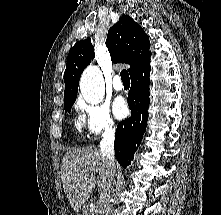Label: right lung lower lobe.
Masks as SVG:
<instances>
[{
  "label": "right lung lower lobe",
  "instance_id": "right-lung-lower-lobe-1",
  "mask_svg": "<svg viewBox=\"0 0 221 215\" xmlns=\"http://www.w3.org/2000/svg\"><path fill=\"white\" fill-rule=\"evenodd\" d=\"M150 69L149 62L130 76L131 89L128 94V105L131 116L118 124L114 142L116 159L123 167L131 163L146 128L147 108L150 101Z\"/></svg>",
  "mask_w": 221,
  "mask_h": 215
}]
</instances>
